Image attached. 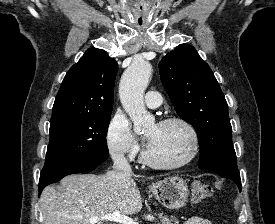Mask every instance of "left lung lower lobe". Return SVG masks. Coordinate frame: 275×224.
Returning a JSON list of instances; mask_svg holds the SVG:
<instances>
[{"instance_id":"0a47b994","label":"left lung lower lobe","mask_w":275,"mask_h":224,"mask_svg":"<svg viewBox=\"0 0 275 224\" xmlns=\"http://www.w3.org/2000/svg\"><path fill=\"white\" fill-rule=\"evenodd\" d=\"M228 178L233 180L236 183V185L238 186L239 190L241 191V179H240V177H228Z\"/></svg>"}]
</instances>
